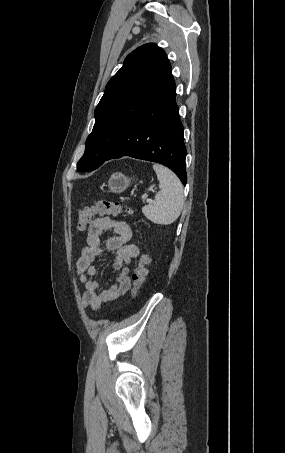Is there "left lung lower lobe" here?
I'll return each mask as SVG.
<instances>
[{"label": "left lung lower lobe", "mask_w": 285, "mask_h": 453, "mask_svg": "<svg viewBox=\"0 0 285 453\" xmlns=\"http://www.w3.org/2000/svg\"><path fill=\"white\" fill-rule=\"evenodd\" d=\"M123 156L163 164L186 184V147L171 71L154 98L130 124L105 161Z\"/></svg>", "instance_id": "left-lung-lower-lobe-1"}]
</instances>
